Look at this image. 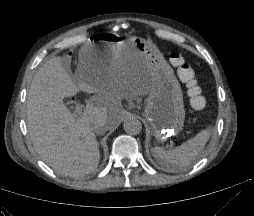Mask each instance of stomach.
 Wrapping results in <instances>:
<instances>
[{
    "label": "stomach",
    "instance_id": "0dacf381",
    "mask_svg": "<svg viewBox=\"0 0 254 216\" xmlns=\"http://www.w3.org/2000/svg\"><path fill=\"white\" fill-rule=\"evenodd\" d=\"M89 44L88 68L96 73L141 62L147 65L151 83L144 116L157 141H165L182 130L185 120L182 89L173 69L153 43L137 37L121 40L113 34L100 33Z\"/></svg>",
    "mask_w": 254,
    "mask_h": 216
}]
</instances>
